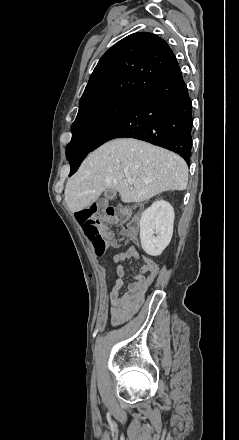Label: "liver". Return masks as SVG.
<instances>
[{"instance_id":"liver-1","label":"liver","mask_w":239,"mask_h":440,"mask_svg":"<svg viewBox=\"0 0 239 440\" xmlns=\"http://www.w3.org/2000/svg\"><path fill=\"white\" fill-rule=\"evenodd\" d=\"M187 184L188 166L178 154L133 138H118L82 162L65 186V202L71 212H80L107 188L117 190L122 202L129 204L145 202L166 190H186Z\"/></svg>"}]
</instances>
